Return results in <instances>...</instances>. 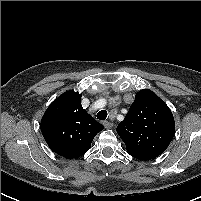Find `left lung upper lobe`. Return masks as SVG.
<instances>
[{
	"label": "left lung upper lobe",
	"instance_id": "5c2ea615",
	"mask_svg": "<svg viewBox=\"0 0 201 201\" xmlns=\"http://www.w3.org/2000/svg\"><path fill=\"white\" fill-rule=\"evenodd\" d=\"M127 152L140 160L161 155L175 133V122L168 106L151 90L139 91L126 117L117 126Z\"/></svg>",
	"mask_w": 201,
	"mask_h": 201
}]
</instances>
